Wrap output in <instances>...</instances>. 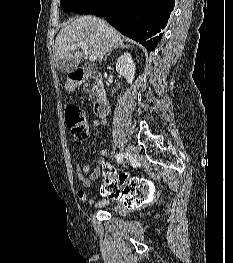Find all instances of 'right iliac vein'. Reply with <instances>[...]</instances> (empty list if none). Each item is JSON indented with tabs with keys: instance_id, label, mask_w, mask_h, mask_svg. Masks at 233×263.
Masks as SVG:
<instances>
[{
	"instance_id": "63e3f726",
	"label": "right iliac vein",
	"mask_w": 233,
	"mask_h": 263,
	"mask_svg": "<svg viewBox=\"0 0 233 263\" xmlns=\"http://www.w3.org/2000/svg\"><path fill=\"white\" fill-rule=\"evenodd\" d=\"M125 153L131 157H135L138 154V151L134 146L129 145L125 148Z\"/></svg>"
}]
</instances>
